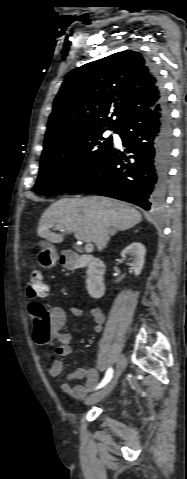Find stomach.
Segmentation results:
<instances>
[{
    "label": "stomach",
    "instance_id": "stomach-1",
    "mask_svg": "<svg viewBox=\"0 0 187 479\" xmlns=\"http://www.w3.org/2000/svg\"><path fill=\"white\" fill-rule=\"evenodd\" d=\"M40 251L38 253V262L43 268L53 267L57 260L58 256L56 253L55 247L48 242H39Z\"/></svg>",
    "mask_w": 187,
    "mask_h": 479
}]
</instances>
